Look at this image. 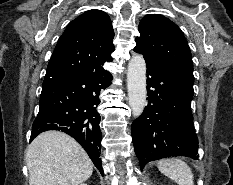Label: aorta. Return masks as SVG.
Returning <instances> with one entry per match:
<instances>
[{
	"instance_id": "aorta-1",
	"label": "aorta",
	"mask_w": 233,
	"mask_h": 185,
	"mask_svg": "<svg viewBox=\"0 0 233 185\" xmlns=\"http://www.w3.org/2000/svg\"><path fill=\"white\" fill-rule=\"evenodd\" d=\"M127 88L129 105L135 118L139 117L146 106V64L142 55L135 54L128 64Z\"/></svg>"
}]
</instances>
